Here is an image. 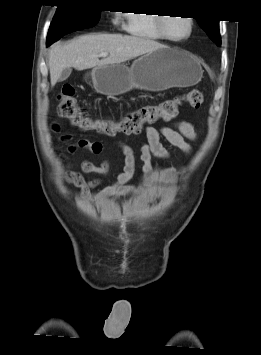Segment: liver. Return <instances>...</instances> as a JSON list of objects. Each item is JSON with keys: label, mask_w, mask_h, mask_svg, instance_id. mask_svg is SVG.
Returning <instances> with one entry per match:
<instances>
[{"label": "liver", "mask_w": 261, "mask_h": 355, "mask_svg": "<svg viewBox=\"0 0 261 355\" xmlns=\"http://www.w3.org/2000/svg\"><path fill=\"white\" fill-rule=\"evenodd\" d=\"M162 44L147 38L122 34H88L62 45H53L49 52L51 86L57 83L65 68L82 71L115 63H122L152 52ZM108 55L99 59V54Z\"/></svg>", "instance_id": "1"}]
</instances>
